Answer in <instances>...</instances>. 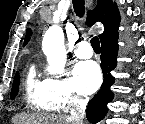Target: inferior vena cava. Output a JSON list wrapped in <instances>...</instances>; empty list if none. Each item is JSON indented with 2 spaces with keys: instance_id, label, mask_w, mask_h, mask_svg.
<instances>
[{
  "instance_id": "602c4592",
  "label": "inferior vena cava",
  "mask_w": 145,
  "mask_h": 124,
  "mask_svg": "<svg viewBox=\"0 0 145 124\" xmlns=\"http://www.w3.org/2000/svg\"><path fill=\"white\" fill-rule=\"evenodd\" d=\"M87 105V100H79L75 104L76 109L71 113L70 119L74 121L75 124H83L84 113Z\"/></svg>"
}]
</instances>
